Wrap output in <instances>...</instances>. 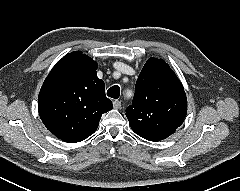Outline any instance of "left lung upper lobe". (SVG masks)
<instances>
[{
	"label": "left lung upper lobe",
	"mask_w": 240,
	"mask_h": 191,
	"mask_svg": "<svg viewBox=\"0 0 240 191\" xmlns=\"http://www.w3.org/2000/svg\"><path fill=\"white\" fill-rule=\"evenodd\" d=\"M186 112V94L176 74L164 60L148 59L126 109L132 130L149 141H160L181 126Z\"/></svg>",
	"instance_id": "left-lung-upper-lobe-1"
}]
</instances>
